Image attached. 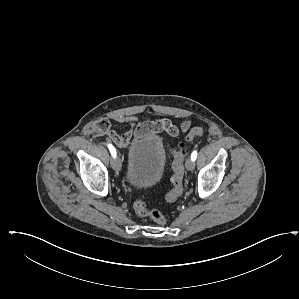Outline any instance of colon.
<instances>
[{
    "label": "colon",
    "mask_w": 299,
    "mask_h": 299,
    "mask_svg": "<svg viewBox=\"0 0 299 299\" xmlns=\"http://www.w3.org/2000/svg\"><path fill=\"white\" fill-rule=\"evenodd\" d=\"M97 128L100 131H107L109 124L106 121H100L97 123ZM204 131L200 127H194L189 130L183 141L177 142L171 151L172 155V185L168 193L166 194L167 202H174L183 193V178H184V161L186 156L185 143H191L195 139L202 138ZM135 212L142 217H149L154 222L163 225L166 223V217L158 210H148L146 203L143 200H136L133 204Z\"/></svg>",
    "instance_id": "5ec220e1"
}]
</instances>
